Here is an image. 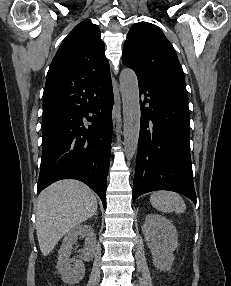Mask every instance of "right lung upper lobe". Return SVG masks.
<instances>
[{
	"label": "right lung upper lobe",
	"mask_w": 231,
	"mask_h": 286,
	"mask_svg": "<svg viewBox=\"0 0 231 286\" xmlns=\"http://www.w3.org/2000/svg\"><path fill=\"white\" fill-rule=\"evenodd\" d=\"M110 76L100 29L80 22L64 39L47 74L43 110H53L82 85Z\"/></svg>",
	"instance_id": "1"
}]
</instances>
